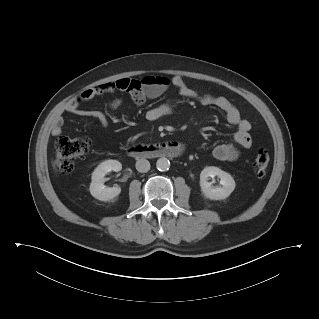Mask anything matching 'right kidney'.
<instances>
[{"instance_id":"ca27d5eb","label":"right kidney","mask_w":319,"mask_h":319,"mask_svg":"<svg viewBox=\"0 0 319 319\" xmlns=\"http://www.w3.org/2000/svg\"><path fill=\"white\" fill-rule=\"evenodd\" d=\"M122 169V164L117 160H106L102 162L92 173L90 183L91 195L100 201H110L121 192L119 186L107 187L104 185V177L110 171L118 172Z\"/></svg>"}]
</instances>
